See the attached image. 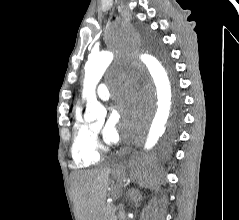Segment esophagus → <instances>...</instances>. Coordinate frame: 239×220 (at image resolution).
Here are the masks:
<instances>
[{
	"instance_id": "obj_1",
	"label": "esophagus",
	"mask_w": 239,
	"mask_h": 220,
	"mask_svg": "<svg viewBox=\"0 0 239 220\" xmlns=\"http://www.w3.org/2000/svg\"><path fill=\"white\" fill-rule=\"evenodd\" d=\"M121 169H122V164L121 163L117 164L116 167H115V170L119 171Z\"/></svg>"
}]
</instances>
